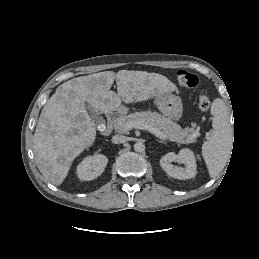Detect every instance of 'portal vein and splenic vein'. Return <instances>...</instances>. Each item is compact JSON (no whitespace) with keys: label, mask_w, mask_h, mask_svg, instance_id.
<instances>
[{"label":"portal vein and splenic vein","mask_w":259,"mask_h":259,"mask_svg":"<svg viewBox=\"0 0 259 259\" xmlns=\"http://www.w3.org/2000/svg\"><path fill=\"white\" fill-rule=\"evenodd\" d=\"M126 127L128 130H131L132 128L135 129H142V130H147L150 133L154 134L155 136H157L160 139L165 140L166 136L160 131V129L155 128L151 125L145 124L142 121H137V122H133V123H127Z\"/></svg>","instance_id":"1"}]
</instances>
